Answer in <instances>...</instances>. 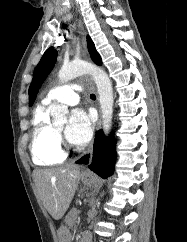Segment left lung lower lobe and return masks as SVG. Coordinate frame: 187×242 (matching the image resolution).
<instances>
[{"label":"left lung lower lobe","instance_id":"0a47b994","mask_svg":"<svg viewBox=\"0 0 187 242\" xmlns=\"http://www.w3.org/2000/svg\"><path fill=\"white\" fill-rule=\"evenodd\" d=\"M115 159V140L110 137L106 139L100 130L96 133L93 153L83 156L76 163L88 164L93 172L102 178H107L114 172Z\"/></svg>","mask_w":187,"mask_h":242}]
</instances>
